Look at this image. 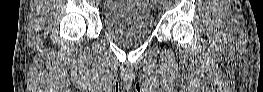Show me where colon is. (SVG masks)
Wrapping results in <instances>:
<instances>
[{
    "label": "colon",
    "mask_w": 263,
    "mask_h": 92,
    "mask_svg": "<svg viewBox=\"0 0 263 92\" xmlns=\"http://www.w3.org/2000/svg\"><path fill=\"white\" fill-rule=\"evenodd\" d=\"M153 1L151 0H147V1H144V3H148V4H151Z\"/></svg>",
    "instance_id": "5ec220e1"
}]
</instances>
